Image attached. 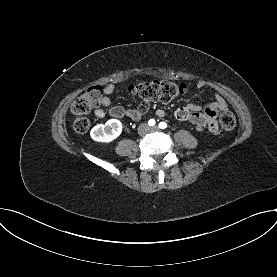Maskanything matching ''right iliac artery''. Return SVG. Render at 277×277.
Segmentation results:
<instances>
[{
    "mask_svg": "<svg viewBox=\"0 0 277 277\" xmlns=\"http://www.w3.org/2000/svg\"><path fill=\"white\" fill-rule=\"evenodd\" d=\"M148 124H149V126L155 125V120H154V119H150V120L148 121Z\"/></svg>",
    "mask_w": 277,
    "mask_h": 277,
    "instance_id": "right-iliac-artery-1",
    "label": "right iliac artery"
}]
</instances>
